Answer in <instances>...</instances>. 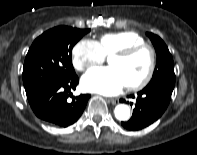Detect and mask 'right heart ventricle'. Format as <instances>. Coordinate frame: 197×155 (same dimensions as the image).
I'll list each match as a JSON object with an SVG mask.
<instances>
[{
	"label": "right heart ventricle",
	"mask_w": 197,
	"mask_h": 155,
	"mask_svg": "<svg viewBox=\"0 0 197 155\" xmlns=\"http://www.w3.org/2000/svg\"><path fill=\"white\" fill-rule=\"evenodd\" d=\"M144 43V38L134 31L106 33L103 34L98 41V44L100 45L105 56L111 55L117 50Z\"/></svg>",
	"instance_id": "e07e8e85"
}]
</instances>
